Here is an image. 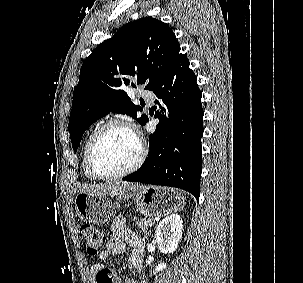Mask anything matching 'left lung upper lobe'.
<instances>
[{
  "label": "left lung upper lobe",
  "instance_id": "1",
  "mask_svg": "<svg viewBox=\"0 0 303 283\" xmlns=\"http://www.w3.org/2000/svg\"><path fill=\"white\" fill-rule=\"evenodd\" d=\"M179 52L180 44L169 25L152 17L124 25L101 43L83 62L73 93L68 128L74 151L84 131L110 112L127 114L144 125L148 118H137L140 108L126 89L137 83L153 90Z\"/></svg>",
  "mask_w": 303,
  "mask_h": 283
}]
</instances>
